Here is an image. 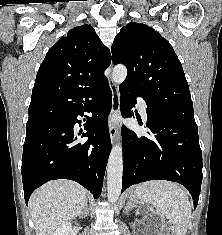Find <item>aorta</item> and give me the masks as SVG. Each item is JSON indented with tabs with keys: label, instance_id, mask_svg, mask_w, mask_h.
I'll return each instance as SVG.
<instances>
[{
	"label": "aorta",
	"instance_id": "1",
	"mask_svg": "<svg viewBox=\"0 0 222 235\" xmlns=\"http://www.w3.org/2000/svg\"><path fill=\"white\" fill-rule=\"evenodd\" d=\"M127 76V68L118 64L113 68L112 80L116 84H121ZM122 146L116 144L113 146L107 166V197L108 201L115 203L121 193L122 189V175H123V157Z\"/></svg>",
	"mask_w": 222,
	"mask_h": 235
}]
</instances>
